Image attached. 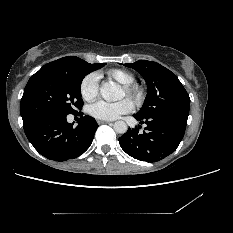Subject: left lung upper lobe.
<instances>
[{"label": "left lung upper lobe", "instance_id": "obj_1", "mask_svg": "<svg viewBox=\"0 0 233 233\" xmlns=\"http://www.w3.org/2000/svg\"><path fill=\"white\" fill-rule=\"evenodd\" d=\"M139 72L145 79L148 92L141 110L135 114L140 118L151 116L188 118L190 98L185 88L167 68L145 60L124 64Z\"/></svg>", "mask_w": 233, "mask_h": 233}]
</instances>
